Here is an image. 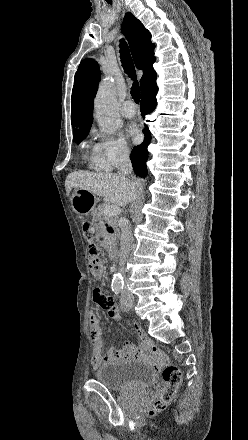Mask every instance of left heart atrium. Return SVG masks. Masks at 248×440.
Listing matches in <instances>:
<instances>
[{
    "label": "left heart atrium",
    "mask_w": 248,
    "mask_h": 440,
    "mask_svg": "<svg viewBox=\"0 0 248 440\" xmlns=\"http://www.w3.org/2000/svg\"><path fill=\"white\" fill-rule=\"evenodd\" d=\"M127 134L134 143H138L141 140V132L135 124H131L128 127Z\"/></svg>",
    "instance_id": "obj_1"
}]
</instances>
